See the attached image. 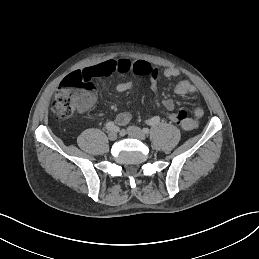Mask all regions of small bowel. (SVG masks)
Wrapping results in <instances>:
<instances>
[{"instance_id": "small-bowel-1", "label": "small bowel", "mask_w": 259, "mask_h": 259, "mask_svg": "<svg viewBox=\"0 0 259 259\" xmlns=\"http://www.w3.org/2000/svg\"><path fill=\"white\" fill-rule=\"evenodd\" d=\"M129 72L148 77L152 90L154 92L156 91L159 71L155 66H152L149 62L144 60H129L125 58L107 60L83 69L80 74L84 80L90 82L95 78L109 74H125ZM163 75L166 78H174L179 75V71L175 68H167L163 71ZM132 87L133 84L131 82H121L116 86V90L120 93H124L132 89ZM175 92L181 96L193 95L196 93V88L190 82L182 80L176 85ZM160 105L167 116L174 110V102L171 99L162 100ZM203 115L204 110L201 107L195 108L193 117H188L187 121L181 125L182 128L185 130L196 129ZM130 120L131 114L129 112H122L116 117V123L121 126L127 125Z\"/></svg>"}]
</instances>
